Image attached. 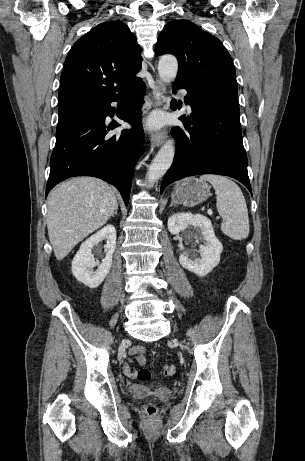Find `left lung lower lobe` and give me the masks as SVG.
<instances>
[{"instance_id": "1", "label": "left lung lower lobe", "mask_w": 305, "mask_h": 461, "mask_svg": "<svg viewBox=\"0 0 305 461\" xmlns=\"http://www.w3.org/2000/svg\"><path fill=\"white\" fill-rule=\"evenodd\" d=\"M185 103L191 117H179L184 128H172L176 138L173 164L166 172L160 192L167 185L187 176L219 174L233 177L251 191L247 155L242 142L237 89L232 87H185ZM171 108L180 109L175 100ZM191 125V126H190Z\"/></svg>"}]
</instances>
